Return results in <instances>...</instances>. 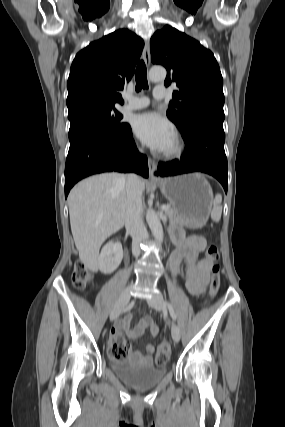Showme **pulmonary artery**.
<instances>
[{
	"label": "pulmonary artery",
	"instance_id": "1",
	"mask_svg": "<svg viewBox=\"0 0 285 427\" xmlns=\"http://www.w3.org/2000/svg\"><path fill=\"white\" fill-rule=\"evenodd\" d=\"M167 96L166 88L163 85H157L153 91V97L156 100L164 99ZM127 103L123 106L124 110H137L145 108L149 105L148 97H130L127 96Z\"/></svg>",
	"mask_w": 285,
	"mask_h": 427
}]
</instances>
